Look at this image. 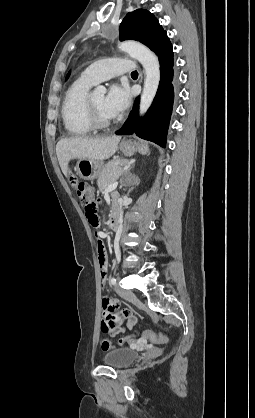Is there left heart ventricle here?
Instances as JSON below:
<instances>
[{
    "mask_svg": "<svg viewBox=\"0 0 255 418\" xmlns=\"http://www.w3.org/2000/svg\"><path fill=\"white\" fill-rule=\"evenodd\" d=\"M104 98H105V96L103 94H93V95H91L92 102H93L98 114L100 115V117L105 119V120H110L111 118H109L107 116V114L105 113V111L103 109Z\"/></svg>",
    "mask_w": 255,
    "mask_h": 418,
    "instance_id": "1",
    "label": "left heart ventricle"
}]
</instances>
